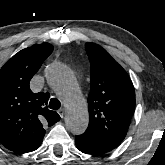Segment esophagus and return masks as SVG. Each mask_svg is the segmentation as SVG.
I'll list each match as a JSON object with an SVG mask.
<instances>
[{"instance_id": "34e87169", "label": "esophagus", "mask_w": 165, "mask_h": 165, "mask_svg": "<svg viewBox=\"0 0 165 165\" xmlns=\"http://www.w3.org/2000/svg\"><path fill=\"white\" fill-rule=\"evenodd\" d=\"M58 114L60 115L61 118H63L64 115H65V110H64V109H60V110L58 111Z\"/></svg>"}]
</instances>
